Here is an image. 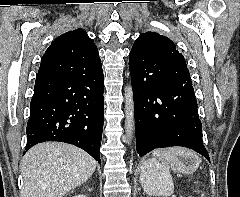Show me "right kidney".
Masks as SVG:
<instances>
[{"label":"right kidney","instance_id":"ca27d5eb","mask_svg":"<svg viewBox=\"0 0 240 197\" xmlns=\"http://www.w3.org/2000/svg\"><path fill=\"white\" fill-rule=\"evenodd\" d=\"M74 197H87V196L79 194V195H75Z\"/></svg>","mask_w":240,"mask_h":197}]
</instances>
